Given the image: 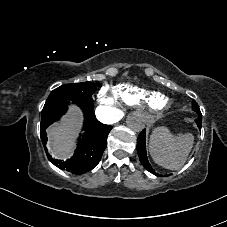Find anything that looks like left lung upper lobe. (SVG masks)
<instances>
[{
	"label": "left lung upper lobe",
	"instance_id": "5c2ea615",
	"mask_svg": "<svg viewBox=\"0 0 227 227\" xmlns=\"http://www.w3.org/2000/svg\"><path fill=\"white\" fill-rule=\"evenodd\" d=\"M192 107L193 110L198 114V118L196 120L202 121V114L200 112L199 106L194 100H192Z\"/></svg>",
	"mask_w": 227,
	"mask_h": 227
}]
</instances>
